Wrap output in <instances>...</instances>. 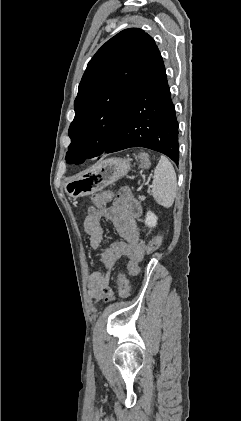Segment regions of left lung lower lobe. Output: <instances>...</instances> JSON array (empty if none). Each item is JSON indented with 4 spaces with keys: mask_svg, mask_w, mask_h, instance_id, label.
<instances>
[{
    "mask_svg": "<svg viewBox=\"0 0 241 421\" xmlns=\"http://www.w3.org/2000/svg\"><path fill=\"white\" fill-rule=\"evenodd\" d=\"M178 121L164 63L155 46L142 72L120 132L107 151L144 147L179 160Z\"/></svg>",
    "mask_w": 241,
    "mask_h": 421,
    "instance_id": "obj_1",
    "label": "left lung lower lobe"
}]
</instances>
